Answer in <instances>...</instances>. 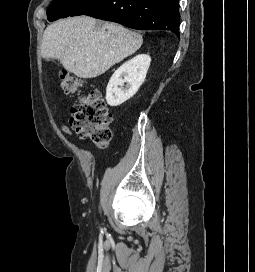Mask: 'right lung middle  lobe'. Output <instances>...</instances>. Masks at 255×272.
Returning a JSON list of instances; mask_svg holds the SVG:
<instances>
[{"label": "right lung middle lobe", "instance_id": "1", "mask_svg": "<svg viewBox=\"0 0 255 272\" xmlns=\"http://www.w3.org/2000/svg\"><path fill=\"white\" fill-rule=\"evenodd\" d=\"M88 1L90 0H53L47 9V18L52 22L59 18L68 17Z\"/></svg>", "mask_w": 255, "mask_h": 272}]
</instances>
